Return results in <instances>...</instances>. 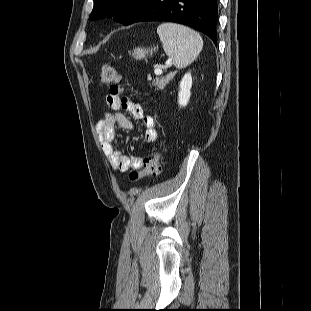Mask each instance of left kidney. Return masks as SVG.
<instances>
[{"instance_id": "left-kidney-1", "label": "left kidney", "mask_w": 311, "mask_h": 311, "mask_svg": "<svg viewBox=\"0 0 311 311\" xmlns=\"http://www.w3.org/2000/svg\"><path fill=\"white\" fill-rule=\"evenodd\" d=\"M191 87H192V77L191 73H186L181 82H180V90L178 93V103L180 106H186L189 102L191 96Z\"/></svg>"}]
</instances>
